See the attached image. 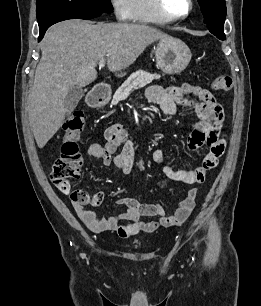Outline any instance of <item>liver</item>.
I'll list each match as a JSON object with an SVG mask.
<instances>
[{
  "label": "liver",
  "instance_id": "obj_1",
  "mask_svg": "<svg viewBox=\"0 0 261 306\" xmlns=\"http://www.w3.org/2000/svg\"><path fill=\"white\" fill-rule=\"evenodd\" d=\"M167 37L142 24L94 25L73 19L53 25L41 42L42 56L29 97V121L38 147L43 148L62 126L69 90L92 83L101 59L106 58L109 71L121 77L147 46Z\"/></svg>",
  "mask_w": 261,
  "mask_h": 306
}]
</instances>
